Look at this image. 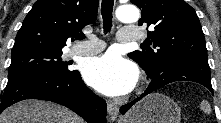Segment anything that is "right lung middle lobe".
<instances>
[{"label":"right lung middle lobe","instance_id":"right-lung-middle-lobe-1","mask_svg":"<svg viewBox=\"0 0 221 123\" xmlns=\"http://www.w3.org/2000/svg\"><path fill=\"white\" fill-rule=\"evenodd\" d=\"M62 51L31 49L12 52L8 78L30 72H39L45 75L65 76L74 71L68 69V63L62 61Z\"/></svg>","mask_w":221,"mask_h":123}]
</instances>
